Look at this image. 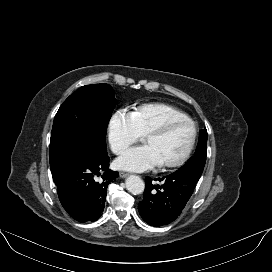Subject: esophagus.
Instances as JSON below:
<instances>
[{"instance_id":"34e87169","label":"esophagus","mask_w":272,"mask_h":272,"mask_svg":"<svg viewBox=\"0 0 272 272\" xmlns=\"http://www.w3.org/2000/svg\"><path fill=\"white\" fill-rule=\"evenodd\" d=\"M119 175L121 178H126L128 176V173L120 172Z\"/></svg>"}]
</instances>
